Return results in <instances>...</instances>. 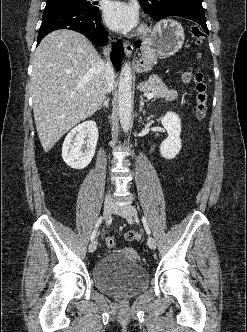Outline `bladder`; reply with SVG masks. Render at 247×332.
I'll return each mask as SVG.
<instances>
[{"instance_id": "31cf9c89", "label": "bladder", "mask_w": 247, "mask_h": 332, "mask_svg": "<svg viewBox=\"0 0 247 332\" xmlns=\"http://www.w3.org/2000/svg\"><path fill=\"white\" fill-rule=\"evenodd\" d=\"M92 281L99 291L119 299H128L143 292L149 275L130 248L105 254L92 269Z\"/></svg>"}]
</instances>
